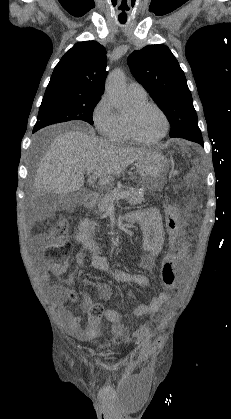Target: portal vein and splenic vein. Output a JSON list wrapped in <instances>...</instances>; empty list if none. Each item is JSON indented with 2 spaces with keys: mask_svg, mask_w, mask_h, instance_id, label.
<instances>
[{
  "mask_svg": "<svg viewBox=\"0 0 231 419\" xmlns=\"http://www.w3.org/2000/svg\"><path fill=\"white\" fill-rule=\"evenodd\" d=\"M86 173L87 174H90V173H92V170L91 169H88V170H86ZM128 196H129V192L128 191H125V192L114 194L113 195V198L116 199V200H119V199L127 198Z\"/></svg>",
  "mask_w": 231,
  "mask_h": 419,
  "instance_id": "18ae733b",
  "label": "portal vein and splenic vein"
}]
</instances>
